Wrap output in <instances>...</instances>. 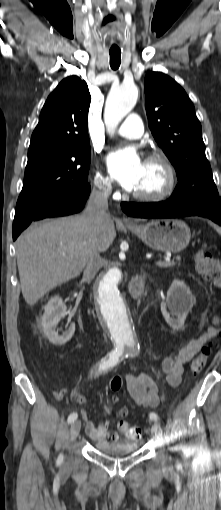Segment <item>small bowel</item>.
Segmentation results:
<instances>
[{"label": "small bowel", "mask_w": 221, "mask_h": 510, "mask_svg": "<svg viewBox=\"0 0 221 510\" xmlns=\"http://www.w3.org/2000/svg\"><path fill=\"white\" fill-rule=\"evenodd\" d=\"M217 318L213 319V324L197 339L191 340L181 347L175 356H168L162 361V370L166 381L171 387H177L182 379L184 366L190 362L193 357L202 349V347L211 340L217 333ZM126 390L136 404L144 407H156L159 404V386L156 381L146 373L128 374L125 378ZM75 400L84 404L87 402L82 395H77ZM103 410L111 413V408L103 404ZM81 417L85 421V430L89 437L95 442H113L118 439L116 433H110V421H104L95 425L87 410L81 411ZM127 422L120 421L118 430L126 437L132 438L127 430Z\"/></svg>", "instance_id": "1"}]
</instances>
